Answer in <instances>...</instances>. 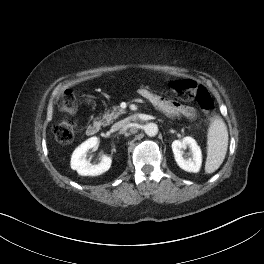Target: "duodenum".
<instances>
[{"instance_id":"obj_1","label":"duodenum","mask_w":264,"mask_h":264,"mask_svg":"<svg viewBox=\"0 0 264 264\" xmlns=\"http://www.w3.org/2000/svg\"><path fill=\"white\" fill-rule=\"evenodd\" d=\"M99 130H100V123L98 121H94L88 125L86 133L89 136H95L98 134Z\"/></svg>"}]
</instances>
